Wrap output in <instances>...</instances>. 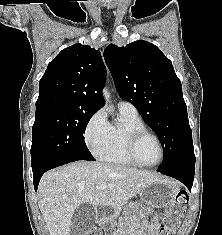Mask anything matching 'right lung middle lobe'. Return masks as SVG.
Masks as SVG:
<instances>
[{
  "label": "right lung middle lobe",
  "instance_id": "obj_1",
  "mask_svg": "<svg viewBox=\"0 0 222 235\" xmlns=\"http://www.w3.org/2000/svg\"><path fill=\"white\" fill-rule=\"evenodd\" d=\"M95 113L66 106L36 112L32 127V170L61 160H95L83 136Z\"/></svg>",
  "mask_w": 222,
  "mask_h": 235
}]
</instances>
